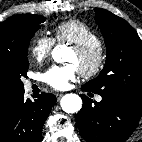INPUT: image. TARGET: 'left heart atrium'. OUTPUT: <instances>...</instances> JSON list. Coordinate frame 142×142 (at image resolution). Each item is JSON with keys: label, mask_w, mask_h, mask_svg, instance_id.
Returning a JSON list of instances; mask_svg holds the SVG:
<instances>
[{"label": "left heart atrium", "mask_w": 142, "mask_h": 142, "mask_svg": "<svg viewBox=\"0 0 142 142\" xmlns=\"http://www.w3.org/2000/svg\"><path fill=\"white\" fill-rule=\"evenodd\" d=\"M77 67L74 64L52 66L44 74V81L56 90H66L77 77Z\"/></svg>", "instance_id": "1"}]
</instances>
